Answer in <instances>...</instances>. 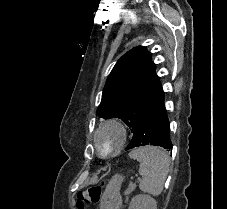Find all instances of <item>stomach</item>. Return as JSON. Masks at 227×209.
I'll list each match as a JSON object with an SVG mask.
<instances>
[{"mask_svg": "<svg viewBox=\"0 0 227 209\" xmlns=\"http://www.w3.org/2000/svg\"><path fill=\"white\" fill-rule=\"evenodd\" d=\"M123 181L121 175H115L108 182L101 197L100 209H120L122 198L120 195V185Z\"/></svg>", "mask_w": 227, "mask_h": 209, "instance_id": "stomach-1", "label": "stomach"}]
</instances>
